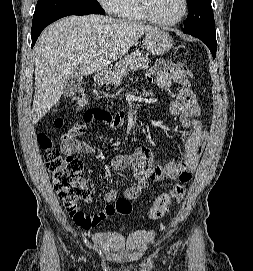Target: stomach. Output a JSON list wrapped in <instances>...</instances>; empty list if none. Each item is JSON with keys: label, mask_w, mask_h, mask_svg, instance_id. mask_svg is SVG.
<instances>
[{"label": "stomach", "mask_w": 253, "mask_h": 271, "mask_svg": "<svg viewBox=\"0 0 253 271\" xmlns=\"http://www.w3.org/2000/svg\"><path fill=\"white\" fill-rule=\"evenodd\" d=\"M173 44V38L169 33L159 29L147 32L144 38L145 49L153 55H164L173 47ZM98 81L110 83L112 82V75L109 73L101 74Z\"/></svg>", "instance_id": "1"}]
</instances>
